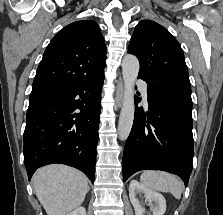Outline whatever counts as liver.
Returning a JSON list of instances; mask_svg holds the SVG:
<instances>
[{"mask_svg": "<svg viewBox=\"0 0 223 215\" xmlns=\"http://www.w3.org/2000/svg\"><path fill=\"white\" fill-rule=\"evenodd\" d=\"M35 193L48 215H66L88 191L87 177L69 165H44L32 177Z\"/></svg>", "mask_w": 223, "mask_h": 215, "instance_id": "liver-1", "label": "liver"}]
</instances>
